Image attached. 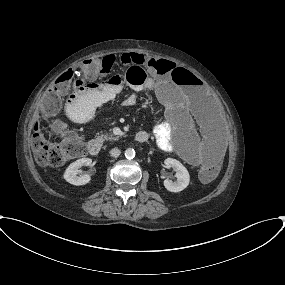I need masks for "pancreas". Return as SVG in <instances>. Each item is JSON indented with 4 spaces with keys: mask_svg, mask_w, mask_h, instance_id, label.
<instances>
[{
    "mask_svg": "<svg viewBox=\"0 0 285 285\" xmlns=\"http://www.w3.org/2000/svg\"><path fill=\"white\" fill-rule=\"evenodd\" d=\"M98 138L102 141H105V140H117L119 137H115L113 136L112 134H101L98 136Z\"/></svg>",
    "mask_w": 285,
    "mask_h": 285,
    "instance_id": "pancreas-1",
    "label": "pancreas"
}]
</instances>
